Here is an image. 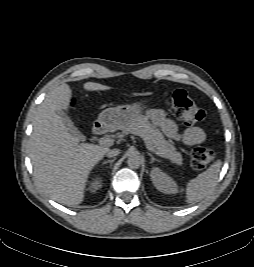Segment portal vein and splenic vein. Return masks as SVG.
<instances>
[{"mask_svg":"<svg viewBox=\"0 0 254 267\" xmlns=\"http://www.w3.org/2000/svg\"><path fill=\"white\" fill-rule=\"evenodd\" d=\"M99 143L101 145L110 146L113 144V140L108 137H103L99 140ZM146 148L150 150L151 152H156L155 149L148 143L145 144Z\"/></svg>","mask_w":254,"mask_h":267,"instance_id":"1","label":"portal vein and splenic vein"}]
</instances>
